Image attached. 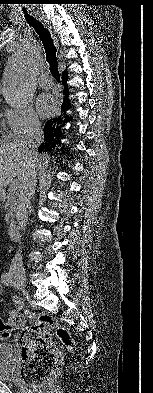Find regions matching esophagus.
<instances>
[{"label":"esophagus","mask_w":153,"mask_h":393,"mask_svg":"<svg viewBox=\"0 0 153 393\" xmlns=\"http://www.w3.org/2000/svg\"><path fill=\"white\" fill-rule=\"evenodd\" d=\"M45 25H46V27L48 28V30L51 32L53 40H54L55 42H57V38H56V36L53 34V31H52L51 26H50L49 24H47V23H45Z\"/></svg>","instance_id":"esophagus-1"}]
</instances>
